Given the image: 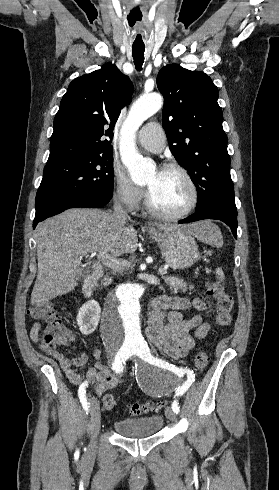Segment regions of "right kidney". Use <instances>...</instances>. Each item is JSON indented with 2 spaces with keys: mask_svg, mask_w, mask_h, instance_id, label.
Instances as JSON below:
<instances>
[{
  "mask_svg": "<svg viewBox=\"0 0 279 490\" xmlns=\"http://www.w3.org/2000/svg\"><path fill=\"white\" fill-rule=\"evenodd\" d=\"M101 308L95 300H89L78 310L77 324L81 334L89 336L95 332L100 320Z\"/></svg>",
  "mask_w": 279,
  "mask_h": 490,
  "instance_id": "ca27d5eb",
  "label": "right kidney"
}]
</instances>
